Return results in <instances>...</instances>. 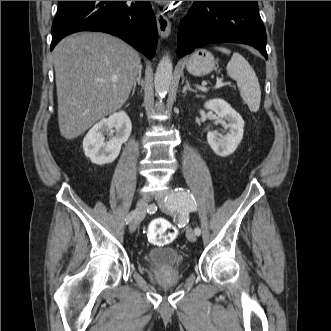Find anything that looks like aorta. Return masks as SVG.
<instances>
[{
  "instance_id": "762f6f07",
  "label": "aorta",
  "mask_w": 331,
  "mask_h": 331,
  "mask_svg": "<svg viewBox=\"0 0 331 331\" xmlns=\"http://www.w3.org/2000/svg\"><path fill=\"white\" fill-rule=\"evenodd\" d=\"M172 71V61L170 57L166 55L160 60L154 78L155 91L159 97H164L169 91Z\"/></svg>"
}]
</instances>
